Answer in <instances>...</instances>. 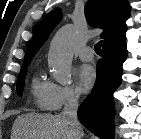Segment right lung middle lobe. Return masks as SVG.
Returning a JSON list of instances; mask_svg holds the SVG:
<instances>
[{
  "mask_svg": "<svg viewBox=\"0 0 141 139\" xmlns=\"http://www.w3.org/2000/svg\"><path fill=\"white\" fill-rule=\"evenodd\" d=\"M28 66H23L21 68L18 81H17V94L19 96H22L23 88H24V80H25V74L27 72Z\"/></svg>",
  "mask_w": 141,
  "mask_h": 139,
  "instance_id": "dd1d6c3e",
  "label": "right lung middle lobe"
}]
</instances>
